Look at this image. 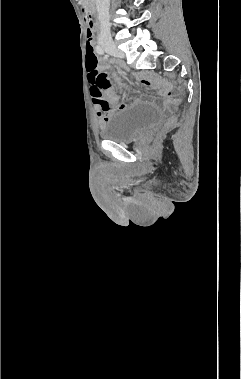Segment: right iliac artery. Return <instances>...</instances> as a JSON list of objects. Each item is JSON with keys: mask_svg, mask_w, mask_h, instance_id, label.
Returning a JSON list of instances; mask_svg holds the SVG:
<instances>
[{"mask_svg": "<svg viewBox=\"0 0 241 379\" xmlns=\"http://www.w3.org/2000/svg\"><path fill=\"white\" fill-rule=\"evenodd\" d=\"M96 51L99 53V54H104V50L101 46H96Z\"/></svg>", "mask_w": 241, "mask_h": 379, "instance_id": "1", "label": "right iliac artery"}]
</instances>
